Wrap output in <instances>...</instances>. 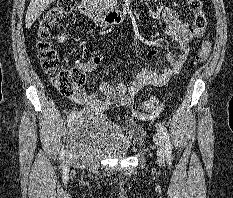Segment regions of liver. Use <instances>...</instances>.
I'll list each match as a JSON object with an SVG mask.
<instances>
[{
    "mask_svg": "<svg viewBox=\"0 0 233 198\" xmlns=\"http://www.w3.org/2000/svg\"><path fill=\"white\" fill-rule=\"evenodd\" d=\"M55 1L56 0H30L25 20L26 28H30L42 12Z\"/></svg>",
    "mask_w": 233,
    "mask_h": 198,
    "instance_id": "obj_1",
    "label": "liver"
}]
</instances>
